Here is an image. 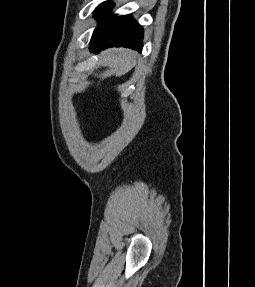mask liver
Segmentation results:
<instances>
[{
	"instance_id": "liver-1",
	"label": "liver",
	"mask_w": 255,
	"mask_h": 287,
	"mask_svg": "<svg viewBox=\"0 0 255 287\" xmlns=\"http://www.w3.org/2000/svg\"><path fill=\"white\" fill-rule=\"evenodd\" d=\"M136 52L132 50H125V48H113V50H106L103 52L100 60L102 66H110L112 68L113 74H116L117 78L119 76H124L127 74L133 66L136 64Z\"/></svg>"
}]
</instances>
